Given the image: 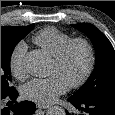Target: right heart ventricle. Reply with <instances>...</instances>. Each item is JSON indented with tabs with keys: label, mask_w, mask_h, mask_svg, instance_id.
I'll list each match as a JSON object with an SVG mask.
<instances>
[{
	"label": "right heart ventricle",
	"mask_w": 115,
	"mask_h": 115,
	"mask_svg": "<svg viewBox=\"0 0 115 115\" xmlns=\"http://www.w3.org/2000/svg\"><path fill=\"white\" fill-rule=\"evenodd\" d=\"M72 36L55 27H47L34 36V42L51 57H56L61 49L72 40Z\"/></svg>",
	"instance_id": "1"
}]
</instances>
